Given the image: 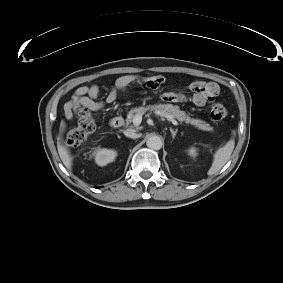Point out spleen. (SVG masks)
<instances>
[{"label": "spleen", "instance_id": "3e777b00", "mask_svg": "<svg viewBox=\"0 0 283 283\" xmlns=\"http://www.w3.org/2000/svg\"><path fill=\"white\" fill-rule=\"evenodd\" d=\"M235 131H233V135ZM235 141L234 138H231L223 147L219 148L213 156V162L208 170V175H213L217 173L230 159V156L234 150Z\"/></svg>", "mask_w": 283, "mask_h": 283}]
</instances>
